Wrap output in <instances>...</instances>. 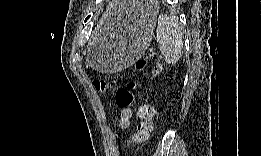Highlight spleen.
Returning <instances> with one entry per match:
<instances>
[{"label": "spleen", "instance_id": "obj_1", "mask_svg": "<svg viewBox=\"0 0 261 156\" xmlns=\"http://www.w3.org/2000/svg\"><path fill=\"white\" fill-rule=\"evenodd\" d=\"M182 38L178 18L173 14L170 16L159 15L156 41L167 63L175 64L180 59L183 49Z\"/></svg>", "mask_w": 261, "mask_h": 156}]
</instances>
